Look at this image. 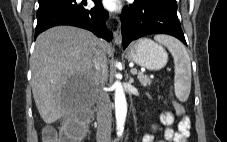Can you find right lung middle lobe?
<instances>
[{"label": "right lung middle lobe", "instance_id": "right-lung-middle-lobe-1", "mask_svg": "<svg viewBox=\"0 0 227 142\" xmlns=\"http://www.w3.org/2000/svg\"><path fill=\"white\" fill-rule=\"evenodd\" d=\"M54 0H39V5H42V4H45V3H48V2H52Z\"/></svg>", "mask_w": 227, "mask_h": 142}]
</instances>
